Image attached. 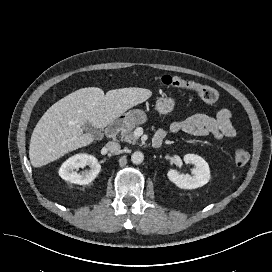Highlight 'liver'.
<instances>
[{
  "label": "liver",
  "mask_w": 272,
  "mask_h": 272,
  "mask_svg": "<svg viewBox=\"0 0 272 272\" xmlns=\"http://www.w3.org/2000/svg\"><path fill=\"white\" fill-rule=\"evenodd\" d=\"M151 95V90L138 87L110 90L106 94L98 87H87L65 96L44 113L33 130L29 146L32 166L42 167L91 144L94 136L83 133L86 123L105 128Z\"/></svg>",
  "instance_id": "obj_1"
}]
</instances>
